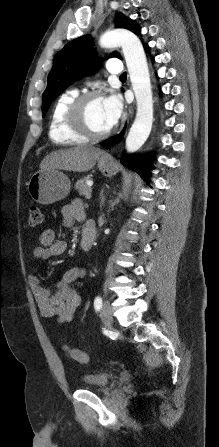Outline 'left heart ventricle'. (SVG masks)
I'll return each instance as SVG.
<instances>
[{"label": "left heart ventricle", "instance_id": "b2bd125f", "mask_svg": "<svg viewBox=\"0 0 219 447\" xmlns=\"http://www.w3.org/2000/svg\"><path fill=\"white\" fill-rule=\"evenodd\" d=\"M87 120L90 126L97 131L111 128L105 114L103 99L95 100L88 106Z\"/></svg>", "mask_w": 219, "mask_h": 447}]
</instances>
